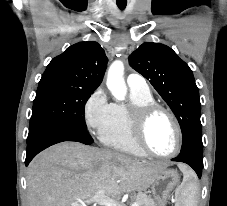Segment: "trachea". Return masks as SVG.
<instances>
[{"instance_id": "3493384b", "label": "trachea", "mask_w": 227, "mask_h": 206, "mask_svg": "<svg viewBox=\"0 0 227 206\" xmlns=\"http://www.w3.org/2000/svg\"><path fill=\"white\" fill-rule=\"evenodd\" d=\"M126 5H127L126 0H122V2H119V0L117 1V6L120 10H124L126 8Z\"/></svg>"}]
</instances>
